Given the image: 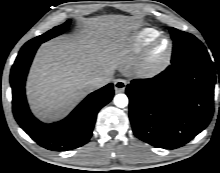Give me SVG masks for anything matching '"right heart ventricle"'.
<instances>
[{"instance_id": "right-heart-ventricle-1", "label": "right heart ventricle", "mask_w": 220, "mask_h": 173, "mask_svg": "<svg viewBox=\"0 0 220 173\" xmlns=\"http://www.w3.org/2000/svg\"><path fill=\"white\" fill-rule=\"evenodd\" d=\"M159 36V31L153 28H142L130 36L124 45L121 55L126 61L136 58L141 51Z\"/></svg>"}]
</instances>
